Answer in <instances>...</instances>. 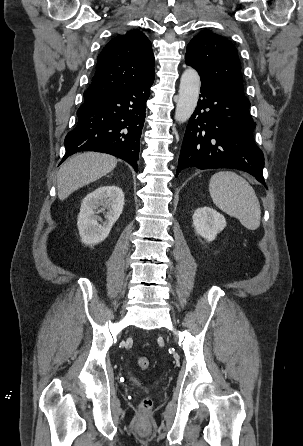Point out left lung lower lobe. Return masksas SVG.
I'll return each mask as SVG.
<instances>
[{"instance_id": "1", "label": "left lung lower lobe", "mask_w": 303, "mask_h": 446, "mask_svg": "<svg viewBox=\"0 0 303 446\" xmlns=\"http://www.w3.org/2000/svg\"><path fill=\"white\" fill-rule=\"evenodd\" d=\"M201 99L191 116L176 176L185 168H235L265 185L264 157L253 139L250 102L227 88L202 79Z\"/></svg>"}]
</instances>
